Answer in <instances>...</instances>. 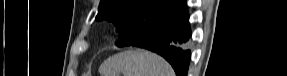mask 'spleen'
Here are the masks:
<instances>
[{
  "label": "spleen",
  "instance_id": "3e777b00",
  "mask_svg": "<svg viewBox=\"0 0 287 76\" xmlns=\"http://www.w3.org/2000/svg\"><path fill=\"white\" fill-rule=\"evenodd\" d=\"M102 76H174L170 64L159 55L137 49L117 53L100 67Z\"/></svg>",
  "mask_w": 287,
  "mask_h": 76
}]
</instances>
